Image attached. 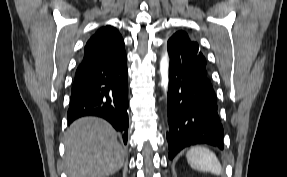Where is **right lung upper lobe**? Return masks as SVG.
<instances>
[{"label": "right lung upper lobe", "instance_id": "1", "mask_svg": "<svg viewBox=\"0 0 287 177\" xmlns=\"http://www.w3.org/2000/svg\"><path fill=\"white\" fill-rule=\"evenodd\" d=\"M100 29H101V30H109V29H115V28L112 27V26L107 25V26H105V27H101Z\"/></svg>", "mask_w": 287, "mask_h": 177}]
</instances>
